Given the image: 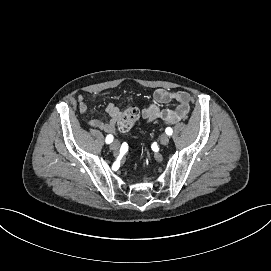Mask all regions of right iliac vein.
I'll use <instances>...</instances> for the list:
<instances>
[{"instance_id":"63e3f726","label":"right iliac vein","mask_w":271,"mask_h":271,"mask_svg":"<svg viewBox=\"0 0 271 271\" xmlns=\"http://www.w3.org/2000/svg\"><path fill=\"white\" fill-rule=\"evenodd\" d=\"M119 147H120L119 142H118V141H113V143H112L111 146H110V149H111L112 151H117V150L119 149Z\"/></svg>"}]
</instances>
